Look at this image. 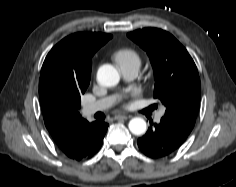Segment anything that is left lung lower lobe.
<instances>
[{"label": "left lung lower lobe", "mask_w": 236, "mask_h": 187, "mask_svg": "<svg viewBox=\"0 0 236 187\" xmlns=\"http://www.w3.org/2000/svg\"><path fill=\"white\" fill-rule=\"evenodd\" d=\"M189 134L175 123L162 118L159 124L148 128L146 134L138 139V146L146 156L160 158L178 149Z\"/></svg>", "instance_id": "obj_1"}]
</instances>
